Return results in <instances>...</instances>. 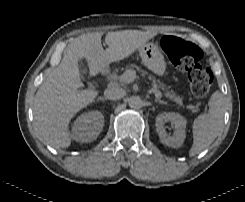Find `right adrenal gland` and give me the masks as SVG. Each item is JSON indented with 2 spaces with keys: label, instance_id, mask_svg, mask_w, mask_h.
I'll return each instance as SVG.
<instances>
[{
  "label": "right adrenal gland",
  "instance_id": "2a0ac1e0",
  "mask_svg": "<svg viewBox=\"0 0 245 202\" xmlns=\"http://www.w3.org/2000/svg\"><path fill=\"white\" fill-rule=\"evenodd\" d=\"M107 99L106 98H103V97H100L99 99H98V101H106Z\"/></svg>",
  "mask_w": 245,
  "mask_h": 202
}]
</instances>
